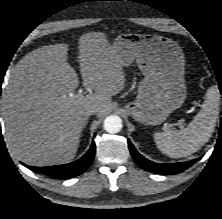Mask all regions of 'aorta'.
I'll list each match as a JSON object with an SVG mask.
<instances>
[{
  "label": "aorta",
  "mask_w": 222,
  "mask_h": 219,
  "mask_svg": "<svg viewBox=\"0 0 222 219\" xmlns=\"http://www.w3.org/2000/svg\"><path fill=\"white\" fill-rule=\"evenodd\" d=\"M104 129L111 134L120 132L122 129V120L117 115H110L104 120Z\"/></svg>",
  "instance_id": "762f6f07"
}]
</instances>
